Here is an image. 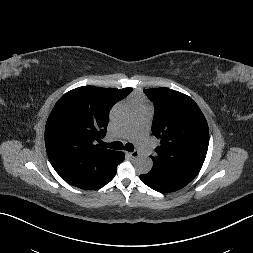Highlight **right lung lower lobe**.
<instances>
[{
	"instance_id": "98d812e1",
	"label": "right lung lower lobe",
	"mask_w": 253,
	"mask_h": 253,
	"mask_svg": "<svg viewBox=\"0 0 253 253\" xmlns=\"http://www.w3.org/2000/svg\"><path fill=\"white\" fill-rule=\"evenodd\" d=\"M124 160V153L116 151L115 156L113 157L112 161L105 167L104 171L94 182L85 184V185H76L71 184L73 186L79 187L81 189H98L108 182H110L117 172V166Z\"/></svg>"
}]
</instances>
